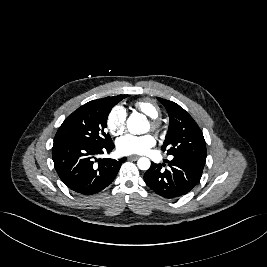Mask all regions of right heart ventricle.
Wrapping results in <instances>:
<instances>
[{
  "instance_id": "1",
  "label": "right heart ventricle",
  "mask_w": 267,
  "mask_h": 267,
  "mask_svg": "<svg viewBox=\"0 0 267 267\" xmlns=\"http://www.w3.org/2000/svg\"><path fill=\"white\" fill-rule=\"evenodd\" d=\"M135 109L139 110L150 119H157L160 116L159 106L150 99H140L133 103Z\"/></svg>"
}]
</instances>
